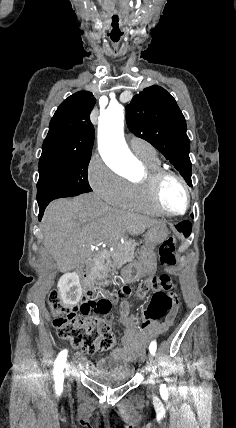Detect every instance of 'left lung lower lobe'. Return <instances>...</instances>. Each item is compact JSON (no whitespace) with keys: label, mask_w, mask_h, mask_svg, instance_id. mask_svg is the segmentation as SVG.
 I'll use <instances>...</instances> for the list:
<instances>
[{"label":"left lung lower lobe","mask_w":236,"mask_h":428,"mask_svg":"<svg viewBox=\"0 0 236 428\" xmlns=\"http://www.w3.org/2000/svg\"><path fill=\"white\" fill-rule=\"evenodd\" d=\"M184 235L188 236L191 233L192 225L189 221H183L175 226Z\"/></svg>","instance_id":"left-lung-lower-lobe-1"}]
</instances>
